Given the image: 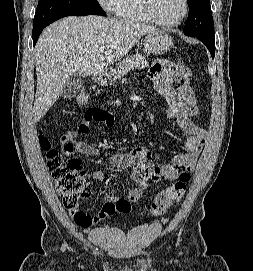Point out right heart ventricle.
<instances>
[{"label": "right heart ventricle", "mask_w": 253, "mask_h": 271, "mask_svg": "<svg viewBox=\"0 0 253 271\" xmlns=\"http://www.w3.org/2000/svg\"><path fill=\"white\" fill-rule=\"evenodd\" d=\"M115 13L118 17L128 21L152 22L144 12L142 0H120Z\"/></svg>", "instance_id": "1"}]
</instances>
